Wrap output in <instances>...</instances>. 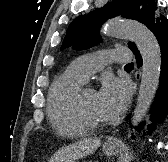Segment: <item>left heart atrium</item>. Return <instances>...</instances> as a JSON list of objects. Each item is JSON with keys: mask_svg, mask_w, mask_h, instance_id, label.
I'll return each instance as SVG.
<instances>
[{"mask_svg": "<svg viewBox=\"0 0 168 162\" xmlns=\"http://www.w3.org/2000/svg\"><path fill=\"white\" fill-rule=\"evenodd\" d=\"M97 100L103 119L112 120L123 112L128 103V85L117 78L106 76L97 92Z\"/></svg>", "mask_w": 168, "mask_h": 162, "instance_id": "1", "label": "left heart atrium"}]
</instances>
